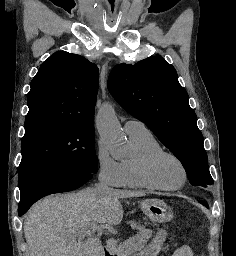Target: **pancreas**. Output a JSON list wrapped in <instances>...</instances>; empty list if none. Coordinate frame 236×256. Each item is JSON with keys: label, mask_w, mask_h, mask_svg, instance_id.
<instances>
[{"label": "pancreas", "mask_w": 236, "mask_h": 256, "mask_svg": "<svg viewBox=\"0 0 236 256\" xmlns=\"http://www.w3.org/2000/svg\"><path fill=\"white\" fill-rule=\"evenodd\" d=\"M135 231L138 232L137 238H123V242H120L119 246L125 247V250H135L136 247L144 248L146 242L151 238L152 232L148 227H145V224H138Z\"/></svg>", "instance_id": "pancreas-1"}]
</instances>
